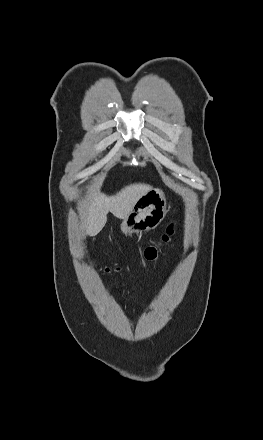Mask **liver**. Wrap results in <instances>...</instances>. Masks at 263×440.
Masks as SVG:
<instances>
[{
  "label": "liver",
  "mask_w": 263,
  "mask_h": 440,
  "mask_svg": "<svg viewBox=\"0 0 263 440\" xmlns=\"http://www.w3.org/2000/svg\"><path fill=\"white\" fill-rule=\"evenodd\" d=\"M148 189L150 186L147 184L135 183L112 196L101 192L90 194L88 204L80 211L86 234L97 235L105 226L109 212L117 218L124 219L131 212L136 200Z\"/></svg>",
  "instance_id": "obj_1"
}]
</instances>
